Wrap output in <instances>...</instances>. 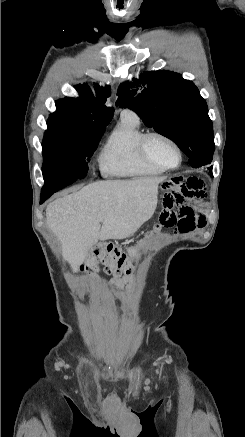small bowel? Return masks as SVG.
<instances>
[{"label":"small bowel","instance_id":"c3829d8e","mask_svg":"<svg viewBox=\"0 0 245 437\" xmlns=\"http://www.w3.org/2000/svg\"><path fill=\"white\" fill-rule=\"evenodd\" d=\"M200 175L195 173L186 182L177 184V191L168 199H164L163 206L160 208L157 222L163 224L164 229H176L180 233H189L195 229H201L206 224L205 204L199 200L204 196L205 187ZM187 203H182L184 199ZM178 208L176 211L174 208ZM175 214V215H173ZM130 277L125 276L119 280H112V284L127 283Z\"/></svg>","mask_w":245,"mask_h":437}]
</instances>
